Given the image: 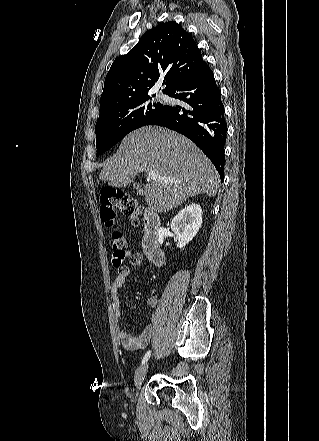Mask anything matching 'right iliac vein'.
<instances>
[{"label": "right iliac vein", "mask_w": 319, "mask_h": 441, "mask_svg": "<svg viewBox=\"0 0 319 441\" xmlns=\"http://www.w3.org/2000/svg\"><path fill=\"white\" fill-rule=\"evenodd\" d=\"M148 364H143L141 367H139L135 372L134 377V383L136 388H139L145 378V375L147 373Z\"/></svg>", "instance_id": "obj_1"}]
</instances>
